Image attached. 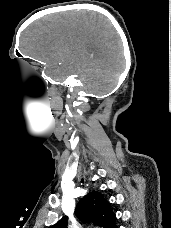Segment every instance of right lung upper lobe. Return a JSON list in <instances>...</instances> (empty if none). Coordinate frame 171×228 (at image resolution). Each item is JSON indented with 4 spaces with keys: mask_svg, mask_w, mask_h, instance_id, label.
<instances>
[{
    "mask_svg": "<svg viewBox=\"0 0 171 228\" xmlns=\"http://www.w3.org/2000/svg\"><path fill=\"white\" fill-rule=\"evenodd\" d=\"M75 214L82 221H91L101 228H116V216L110 203L97 191H93L83 197L76 206ZM68 217H63L50 228H67Z\"/></svg>",
    "mask_w": 171,
    "mask_h": 228,
    "instance_id": "1",
    "label": "right lung upper lobe"
}]
</instances>
